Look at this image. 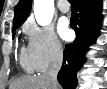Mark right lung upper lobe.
Segmentation results:
<instances>
[{
  "label": "right lung upper lobe",
  "instance_id": "right-lung-upper-lobe-1",
  "mask_svg": "<svg viewBox=\"0 0 107 89\" xmlns=\"http://www.w3.org/2000/svg\"><path fill=\"white\" fill-rule=\"evenodd\" d=\"M31 10V0H19L14 12V27H19L28 17Z\"/></svg>",
  "mask_w": 107,
  "mask_h": 89
}]
</instances>
